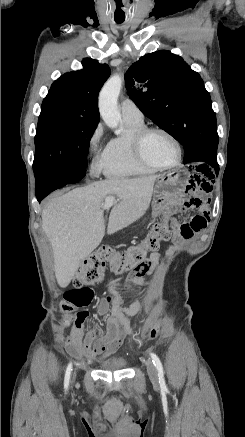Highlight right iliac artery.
<instances>
[{
  "mask_svg": "<svg viewBox=\"0 0 245 437\" xmlns=\"http://www.w3.org/2000/svg\"><path fill=\"white\" fill-rule=\"evenodd\" d=\"M71 371H72V364L69 363V365L67 366V369H66L65 379H64V388H65V390H67V388L69 386V380H70Z\"/></svg>",
  "mask_w": 245,
  "mask_h": 437,
  "instance_id": "right-iliac-artery-1",
  "label": "right iliac artery"
}]
</instances>
